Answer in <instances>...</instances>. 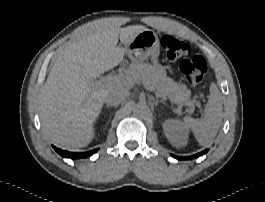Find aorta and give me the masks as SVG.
Wrapping results in <instances>:
<instances>
[{
  "label": "aorta",
  "instance_id": "762f6f07",
  "mask_svg": "<svg viewBox=\"0 0 265 202\" xmlns=\"http://www.w3.org/2000/svg\"><path fill=\"white\" fill-rule=\"evenodd\" d=\"M149 108L144 102H139L133 106V112L139 116H144L148 113Z\"/></svg>",
  "mask_w": 265,
  "mask_h": 202
}]
</instances>
